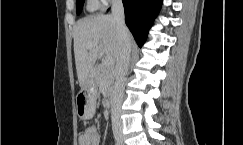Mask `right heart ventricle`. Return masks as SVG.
Listing matches in <instances>:
<instances>
[{
	"mask_svg": "<svg viewBox=\"0 0 243 145\" xmlns=\"http://www.w3.org/2000/svg\"><path fill=\"white\" fill-rule=\"evenodd\" d=\"M97 7H98L97 0H88V9L89 10H95Z\"/></svg>",
	"mask_w": 243,
	"mask_h": 145,
	"instance_id": "obj_1",
	"label": "right heart ventricle"
}]
</instances>
